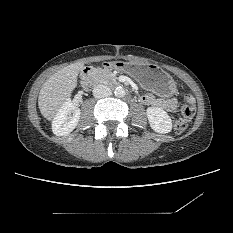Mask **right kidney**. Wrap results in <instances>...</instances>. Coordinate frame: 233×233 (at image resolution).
<instances>
[{
    "label": "right kidney",
    "mask_w": 233,
    "mask_h": 233,
    "mask_svg": "<svg viewBox=\"0 0 233 233\" xmlns=\"http://www.w3.org/2000/svg\"><path fill=\"white\" fill-rule=\"evenodd\" d=\"M81 111L79 107L67 100L52 121V131L57 136L71 133L78 124Z\"/></svg>",
    "instance_id": "1"
}]
</instances>
